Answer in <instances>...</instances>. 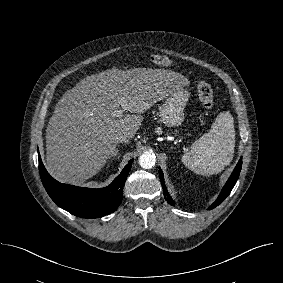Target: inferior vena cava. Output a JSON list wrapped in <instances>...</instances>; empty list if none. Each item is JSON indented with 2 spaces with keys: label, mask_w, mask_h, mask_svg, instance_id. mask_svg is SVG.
Instances as JSON below:
<instances>
[{
  "label": "inferior vena cava",
  "mask_w": 283,
  "mask_h": 283,
  "mask_svg": "<svg viewBox=\"0 0 283 283\" xmlns=\"http://www.w3.org/2000/svg\"><path fill=\"white\" fill-rule=\"evenodd\" d=\"M128 141H129V139L125 135H116L115 138H114L115 143H118V142L127 143Z\"/></svg>",
  "instance_id": "inferior-vena-cava-1"
}]
</instances>
